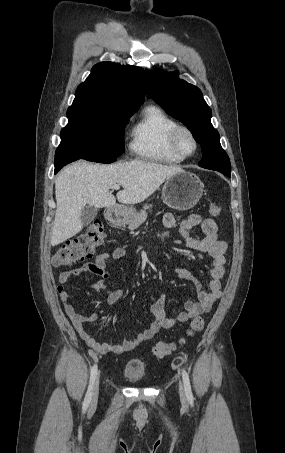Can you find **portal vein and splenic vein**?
<instances>
[{"instance_id":"portal-vein-and-splenic-vein-1","label":"portal vein and splenic vein","mask_w":285,"mask_h":453,"mask_svg":"<svg viewBox=\"0 0 285 453\" xmlns=\"http://www.w3.org/2000/svg\"><path fill=\"white\" fill-rule=\"evenodd\" d=\"M112 189L114 190H119L120 189V185L119 184H114L111 186Z\"/></svg>"}]
</instances>
